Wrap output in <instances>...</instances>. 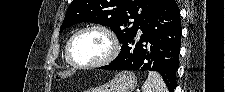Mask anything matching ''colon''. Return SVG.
<instances>
[{
	"mask_svg": "<svg viewBox=\"0 0 225 92\" xmlns=\"http://www.w3.org/2000/svg\"><path fill=\"white\" fill-rule=\"evenodd\" d=\"M66 77V75L65 74H63L60 78L61 79H64Z\"/></svg>",
	"mask_w": 225,
	"mask_h": 92,
	"instance_id": "obj_1",
	"label": "colon"
}]
</instances>
